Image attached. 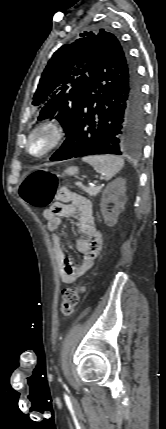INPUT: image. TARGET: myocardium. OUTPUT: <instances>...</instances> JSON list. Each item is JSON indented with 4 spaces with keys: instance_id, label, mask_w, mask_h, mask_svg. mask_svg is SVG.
<instances>
[{
    "instance_id": "1",
    "label": "myocardium",
    "mask_w": 166,
    "mask_h": 429,
    "mask_svg": "<svg viewBox=\"0 0 166 429\" xmlns=\"http://www.w3.org/2000/svg\"><path fill=\"white\" fill-rule=\"evenodd\" d=\"M41 135L46 137L47 144L43 150L35 153L31 150L30 145L33 138ZM63 136L64 128L59 120L55 118L44 119L28 133L25 142V150L33 158H43L59 146Z\"/></svg>"
}]
</instances>
